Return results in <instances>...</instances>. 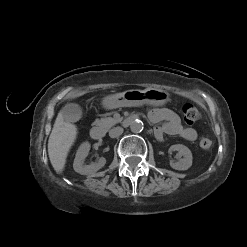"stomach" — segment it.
<instances>
[{
	"label": "stomach",
	"instance_id": "obj_1",
	"mask_svg": "<svg viewBox=\"0 0 247 247\" xmlns=\"http://www.w3.org/2000/svg\"><path fill=\"white\" fill-rule=\"evenodd\" d=\"M170 99L168 92L160 89L128 90L109 95L103 99V106L107 109L118 107L142 106L144 104L161 106Z\"/></svg>",
	"mask_w": 247,
	"mask_h": 247
}]
</instances>
